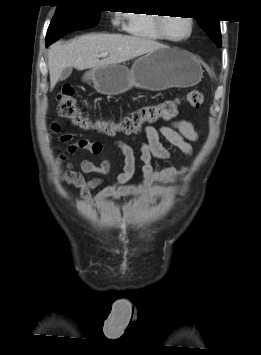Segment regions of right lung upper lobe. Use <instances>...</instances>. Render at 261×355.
I'll list each match as a JSON object with an SVG mask.
<instances>
[{"mask_svg": "<svg viewBox=\"0 0 261 355\" xmlns=\"http://www.w3.org/2000/svg\"><path fill=\"white\" fill-rule=\"evenodd\" d=\"M61 3L63 2H68V1H74V0H59Z\"/></svg>", "mask_w": 261, "mask_h": 355, "instance_id": "cb5924a9", "label": "right lung upper lobe"}]
</instances>
